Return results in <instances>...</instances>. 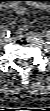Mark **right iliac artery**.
Returning a JSON list of instances; mask_svg holds the SVG:
<instances>
[{
    "label": "right iliac artery",
    "mask_w": 50,
    "mask_h": 111,
    "mask_svg": "<svg viewBox=\"0 0 50 111\" xmlns=\"http://www.w3.org/2000/svg\"><path fill=\"white\" fill-rule=\"evenodd\" d=\"M2 35L7 36L6 38H8L10 36V31L5 29L2 31Z\"/></svg>",
    "instance_id": "1"
}]
</instances>
